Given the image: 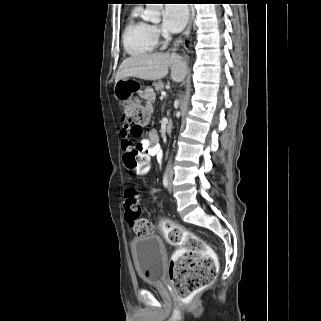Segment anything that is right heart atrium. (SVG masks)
<instances>
[{
    "label": "right heart atrium",
    "mask_w": 321,
    "mask_h": 321,
    "mask_svg": "<svg viewBox=\"0 0 321 321\" xmlns=\"http://www.w3.org/2000/svg\"><path fill=\"white\" fill-rule=\"evenodd\" d=\"M152 30L154 31V33L158 36L160 34V29L157 26H152Z\"/></svg>",
    "instance_id": "obj_1"
}]
</instances>
